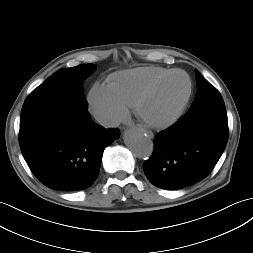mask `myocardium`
I'll return each mask as SVG.
<instances>
[{
    "label": "myocardium",
    "instance_id": "1",
    "mask_svg": "<svg viewBox=\"0 0 253 253\" xmlns=\"http://www.w3.org/2000/svg\"><path fill=\"white\" fill-rule=\"evenodd\" d=\"M175 74H182L187 79L188 89H187V93L185 97L183 98V100L181 101V103L179 104L175 112L169 118L162 121H155V120H151L147 118L143 113V107H144L145 102L164 81H166L168 78H170L171 76ZM191 95H192V81H191L190 76L184 70L174 69L162 75L161 77L157 78L139 95L134 105V111H135L136 116L146 125L153 128H167L173 125L182 116L184 110L186 109L189 103Z\"/></svg>",
    "mask_w": 253,
    "mask_h": 253
}]
</instances>
